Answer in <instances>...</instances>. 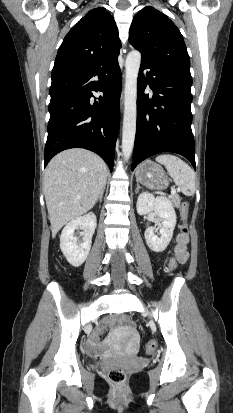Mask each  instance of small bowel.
I'll list each match as a JSON object with an SVG mask.
<instances>
[{
	"instance_id": "c3829d8e",
	"label": "small bowel",
	"mask_w": 233,
	"mask_h": 413,
	"mask_svg": "<svg viewBox=\"0 0 233 413\" xmlns=\"http://www.w3.org/2000/svg\"><path fill=\"white\" fill-rule=\"evenodd\" d=\"M187 242H188V238L185 239L180 234L177 235L176 246L174 248V254H175V257L177 258V261L181 264H185L188 260V254L186 251ZM117 322L118 320L115 317H109L103 320V322L97 328L96 333L89 340V349L92 353L101 354L105 352L101 344L99 335L107 328L115 325Z\"/></svg>"
}]
</instances>
